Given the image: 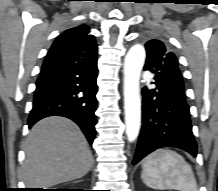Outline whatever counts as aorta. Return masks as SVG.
I'll return each mask as SVG.
<instances>
[{
	"label": "aorta",
	"mask_w": 218,
	"mask_h": 191,
	"mask_svg": "<svg viewBox=\"0 0 218 191\" xmlns=\"http://www.w3.org/2000/svg\"><path fill=\"white\" fill-rule=\"evenodd\" d=\"M146 52L142 45L130 48L124 59V111L126 134L130 142L136 140L141 126L139 81Z\"/></svg>",
	"instance_id": "obj_1"
}]
</instances>
